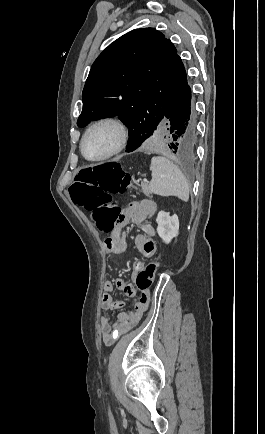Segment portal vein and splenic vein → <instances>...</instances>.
<instances>
[{
    "label": "portal vein and splenic vein",
    "mask_w": 265,
    "mask_h": 434,
    "mask_svg": "<svg viewBox=\"0 0 265 434\" xmlns=\"http://www.w3.org/2000/svg\"><path fill=\"white\" fill-rule=\"evenodd\" d=\"M143 182H148V180H146V178H144Z\"/></svg>",
    "instance_id": "obj_1"
}]
</instances>
